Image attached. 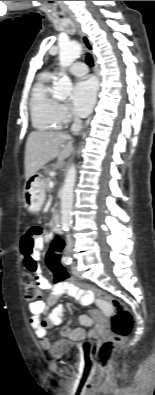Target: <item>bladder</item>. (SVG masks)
Segmentation results:
<instances>
[{
    "instance_id": "31cf9c89",
    "label": "bladder",
    "mask_w": 155,
    "mask_h": 395,
    "mask_svg": "<svg viewBox=\"0 0 155 395\" xmlns=\"http://www.w3.org/2000/svg\"><path fill=\"white\" fill-rule=\"evenodd\" d=\"M50 353L55 358H65L78 363L84 355L83 347L71 340L60 339L53 343Z\"/></svg>"
}]
</instances>
